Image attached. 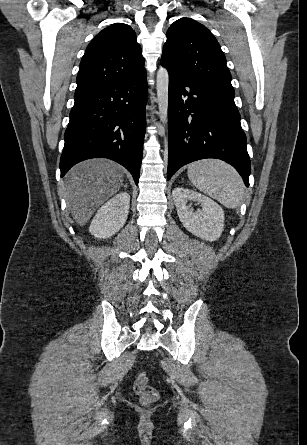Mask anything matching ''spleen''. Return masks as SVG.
I'll list each match as a JSON object with an SVG mask.
<instances>
[{"mask_svg": "<svg viewBox=\"0 0 307 445\" xmlns=\"http://www.w3.org/2000/svg\"><path fill=\"white\" fill-rule=\"evenodd\" d=\"M188 176L199 190L212 196L227 208L238 206L243 190V180L237 170L224 160L204 158L188 164Z\"/></svg>", "mask_w": 307, "mask_h": 445, "instance_id": "spleen-1", "label": "spleen"}]
</instances>
